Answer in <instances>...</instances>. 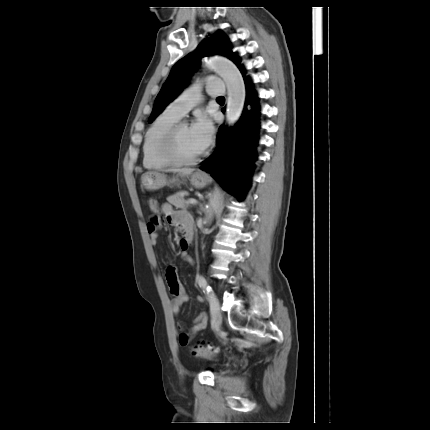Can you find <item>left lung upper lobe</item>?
Instances as JSON below:
<instances>
[{
  "mask_svg": "<svg viewBox=\"0 0 430 430\" xmlns=\"http://www.w3.org/2000/svg\"><path fill=\"white\" fill-rule=\"evenodd\" d=\"M214 54L229 58L236 64L241 73L244 72L238 56L232 51L228 38L223 32L217 31L215 34L210 35L209 38H206L193 53L188 54L172 67L169 77L156 97L149 122L156 118L166 105L180 93L181 89L187 84L195 63L203 57Z\"/></svg>",
  "mask_w": 430,
  "mask_h": 430,
  "instance_id": "5c2ea615",
  "label": "left lung upper lobe"
}]
</instances>
